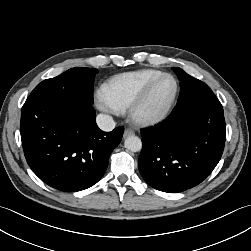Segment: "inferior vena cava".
<instances>
[{"label": "inferior vena cava", "mask_w": 251, "mask_h": 251, "mask_svg": "<svg viewBox=\"0 0 251 251\" xmlns=\"http://www.w3.org/2000/svg\"><path fill=\"white\" fill-rule=\"evenodd\" d=\"M96 121L98 127L106 132L112 131L116 125L113 118L106 114H98Z\"/></svg>", "instance_id": "inferior-vena-cava-1"}]
</instances>
